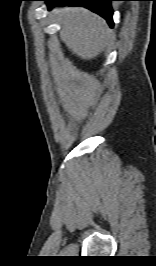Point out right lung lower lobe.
<instances>
[{
	"label": "right lung lower lobe",
	"mask_w": 156,
	"mask_h": 266,
	"mask_svg": "<svg viewBox=\"0 0 156 266\" xmlns=\"http://www.w3.org/2000/svg\"><path fill=\"white\" fill-rule=\"evenodd\" d=\"M45 1L49 8L59 5L69 6H83L91 11L101 15L107 20L109 25L113 27L112 15L113 11L111 8V1L113 0H42Z\"/></svg>",
	"instance_id": "1"
}]
</instances>
